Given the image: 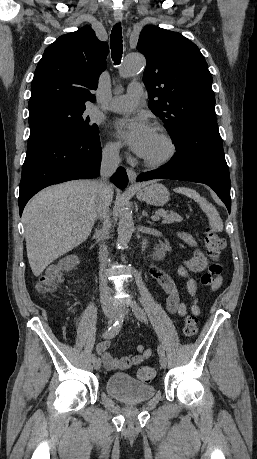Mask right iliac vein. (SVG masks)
I'll return each mask as SVG.
<instances>
[{"instance_id": "1", "label": "right iliac vein", "mask_w": 257, "mask_h": 459, "mask_svg": "<svg viewBox=\"0 0 257 459\" xmlns=\"http://www.w3.org/2000/svg\"><path fill=\"white\" fill-rule=\"evenodd\" d=\"M104 314L105 316L108 318L109 320V323H112L115 319H116V314L115 312L112 310V308H110L109 306L105 307L104 308ZM93 367L94 369L96 370H99L101 368V361L100 359H96L93 361Z\"/></svg>"}]
</instances>
